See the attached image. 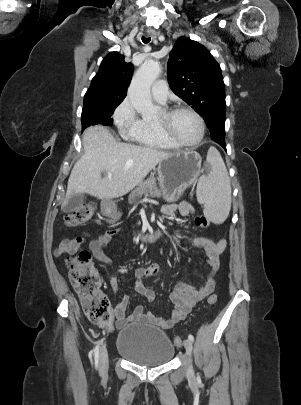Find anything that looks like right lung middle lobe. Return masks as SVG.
Here are the masks:
<instances>
[{
  "instance_id": "1",
  "label": "right lung middle lobe",
  "mask_w": 301,
  "mask_h": 405,
  "mask_svg": "<svg viewBox=\"0 0 301 405\" xmlns=\"http://www.w3.org/2000/svg\"><path fill=\"white\" fill-rule=\"evenodd\" d=\"M120 103L98 98L84 101L81 115L82 129L98 123L112 125L113 119L111 116Z\"/></svg>"
}]
</instances>
